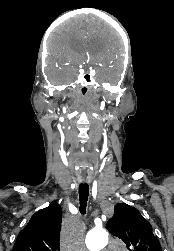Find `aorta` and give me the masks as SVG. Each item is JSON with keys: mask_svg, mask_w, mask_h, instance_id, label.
<instances>
[{"mask_svg": "<svg viewBox=\"0 0 174 251\" xmlns=\"http://www.w3.org/2000/svg\"><path fill=\"white\" fill-rule=\"evenodd\" d=\"M85 243L90 251H100L108 243V234L103 229H92L87 233Z\"/></svg>", "mask_w": 174, "mask_h": 251, "instance_id": "762f6f07", "label": "aorta"}]
</instances>
